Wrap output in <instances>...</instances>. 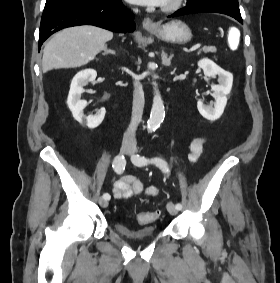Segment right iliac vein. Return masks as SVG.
I'll return each mask as SVG.
<instances>
[{"label":"right iliac vein","instance_id":"right-iliac-vein-1","mask_svg":"<svg viewBox=\"0 0 280 283\" xmlns=\"http://www.w3.org/2000/svg\"><path fill=\"white\" fill-rule=\"evenodd\" d=\"M133 150L132 146L124 144L121 147V154H129ZM99 204L102 208H106L108 206V200L104 198L99 199Z\"/></svg>","mask_w":280,"mask_h":283}]
</instances>
